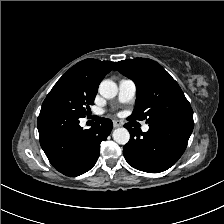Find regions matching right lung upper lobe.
<instances>
[{
    "label": "right lung upper lobe",
    "mask_w": 224,
    "mask_h": 224,
    "mask_svg": "<svg viewBox=\"0 0 224 224\" xmlns=\"http://www.w3.org/2000/svg\"><path fill=\"white\" fill-rule=\"evenodd\" d=\"M114 65L115 62L85 59L71 67L65 75L77 78L97 90L100 82Z\"/></svg>",
    "instance_id": "cb5924a9"
}]
</instances>
